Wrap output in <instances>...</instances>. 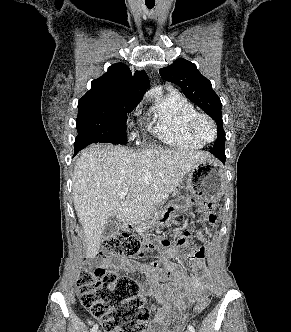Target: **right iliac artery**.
<instances>
[{"mask_svg":"<svg viewBox=\"0 0 291 332\" xmlns=\"http://www.w3.org/2000/svg\"><path fill=\"white\" fill-rule=\"evenodd\" d=\"M98 330V325H94L93 328L91 329V332H97Z\"/></svg>","mask_w":291,"mask_h":332,"instance_id":"right-iliac-artery-1","label":"right iliac artery"}]
</instances>
